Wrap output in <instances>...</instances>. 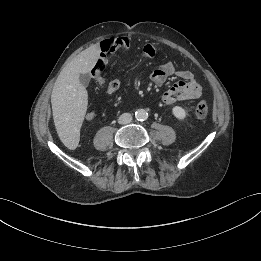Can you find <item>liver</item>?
Segmentation results:
<instances>
[{
    "mask_svg": "<svg viewBox=\"0 0 261 261\" xmlns=\"http://www.w3.org/2000/svg\"><path fill=\"white\" fill-rule=\"evenodd\" d=\"M100 52L97 44L81 52L63 68L54 84L51 94L53 119L63 142L79 132L88 104V93L79 76L93 69Z\"/></svg>",
    "mask_w": 261,
    "mask_h": 261,
    "instance_id": "1",
    "label": "liver"
}]
</instances>
